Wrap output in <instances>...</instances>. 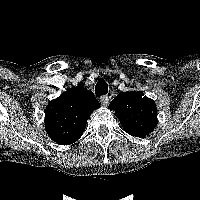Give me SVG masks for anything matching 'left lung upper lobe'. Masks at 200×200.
Segmentation results:
<instances>
[{"mask_svg":"<svg viewBox=\"0 0 200 200\" xmlns=\"http://www.w3.org/2000/svg\"><path fill=\"white\" fill-rule=\"evenodd\" d=\"M109 109L115 111L124 130L135 137H144L157 124L155 102L143 92L121 93L110 102Z\"/></svg>","mask_w":200,"mask_h":200,"instance_id":"5c2ea615","label":"left lung upper lobe"}]
</instances>
